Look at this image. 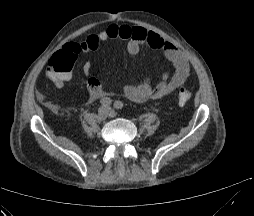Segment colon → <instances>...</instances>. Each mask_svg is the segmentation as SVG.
Here are the masks:
<instances>
[{
    "mask_svg": "<svg viewBox=\"0 0 254 216\" xmlns=\"http://www.w3.org/2000/svg\"><path fill=\"white\" fill-rule=\"evenodd\" d=\"M75 54L79 51H81V48L79 45L74 46ZM73 67V62L71 59H69L66 54L64 53H58L55 55L50 65H48L47 70L50 75H61V74H67L71 72ZM191 98V92L186 87H181L177 92V100L179 104L185 105Z\"/></svg>",
    "mask_w": 254,
    "mask_h": 216,
    "instance_id": "5ec220e1",
    "label": "colon"
}]
</instances>
